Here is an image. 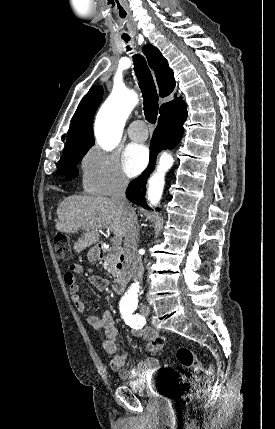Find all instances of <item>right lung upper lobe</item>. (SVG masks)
Here are the masks:
<instances>
[{"instance_id":"obj_1","label":"right lung upper lobe","mask_w":275,"mask_h":429,"mask_svg":"<svg viewBox=\"0 0 275 429\" xmlns=\"http://www.w3.org/2000/svg\"><path fill=\"white\" fill-rule=\"evenodd\" d=\"M150 67L154 70L160 89V96L170 95L175 87L173 71L169 68L167 60L160 51L151 44L143 47ZM103 89L96 85L90 88L89 92L81 100L67 134L66 145L63 156L87 152L94 144L92 129L93 116L102 101ZM184 101L181 98L164 103L160 107V118L172 113L177 105Z\"/></svg>"}]
</instances>
